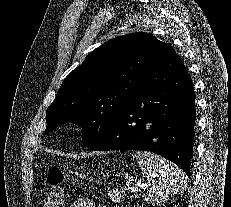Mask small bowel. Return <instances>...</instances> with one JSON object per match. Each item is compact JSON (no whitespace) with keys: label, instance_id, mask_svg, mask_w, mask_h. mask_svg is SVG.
<instances>
[{"label":"small bowel","instance_id":"c3829d8e","mask_svg":"<svg viewBox=\"0 0 231 207\" xmlns=\"http://www.w3.org/2000/svg\"><path fill=\"white\" fill-rule=\"evenodd\" d=\"M71 207H96L95 204L93 203V201L89 200V199H77L75 200Z\"/></svg>","mask_w":231,"mask_h":207}]
</instances>
